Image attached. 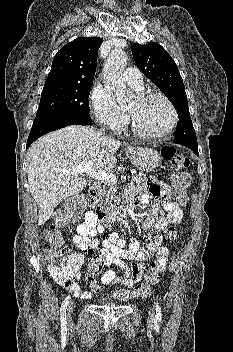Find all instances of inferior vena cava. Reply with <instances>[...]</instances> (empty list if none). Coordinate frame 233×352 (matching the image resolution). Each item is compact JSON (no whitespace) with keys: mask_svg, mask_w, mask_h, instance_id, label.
Masks as SVG:
<instances>
[{"mask_svg":"<svg viewBox=\"0 0 233 352\" xmlns=\"http://www.w3.org/2000/svg\"><path fill=\"white\" fill-rule=\"evenodd\" d=\"M104 132V129H101V133Z\"/></svg>","mask_w":233,"mask_h":352,"instance_id":"1","label":"inferior vena cava"}]
</instances>
